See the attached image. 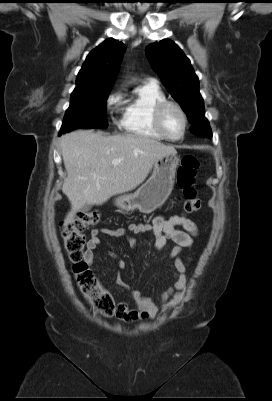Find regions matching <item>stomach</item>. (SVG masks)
Instances as JSON below:
<instances>
[{"label":"stomach","instance_id":"0dacf381","mask_svg":"<svg viewBox=\"0 0 272 401\" xmlns=\"http://www.w3.org/2000/svg\"><path fill=\"white\" fill-rule=\"evenodd\" d=\"M179 157L168 154L154 163L151 177L134 193L124 194L115 199V205L125 211L139 210L152 213L161 207L169 197L175 182Z\"/></svg>","mask_w":272,"mask_h":401}]
</instances>
